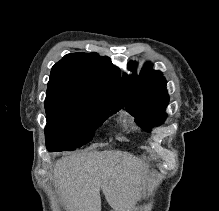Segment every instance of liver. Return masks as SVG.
Listing matches in <instances>:
<instances>
[{
  "label": "liver",
  "instance_id": "1",
  "mask_svg": "<svg viewBox=\"0 0 219 211\" xmlns=\"http://www.w3.org/2000/svg\"><path fill=\"white\" fill-rule=\"evenodd\" d=\"M142 165L128 151L71 153L56 161L50 177L67 211H101L100 189L115 211H130L141 197Z\"/></svg>",
  "mask_w": 219,
  "mask_h": 211
}]
</instances>
